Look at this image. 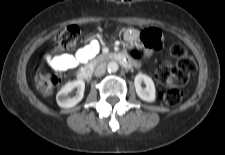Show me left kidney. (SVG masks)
<instances>
[{
    "mask_svg": "<svg viewBox=\"0 0 225 155\" xmlns=\"http://www.w3.org/2000/svg\"><path fill=\"white\" fill-rule=\"evenodd\" d=\"M144 82L146 84V87L143 89L141 87V83ZM134 85L136 89L137 95L144 101L147 102H154L155 101V85L153 80L145 75V74H138L136 75L134 79Z\"/></svg>",
    "mask_w": 225,
    "mask_h": 155,
    "instance_id": "obj_1",
    "label": "left kidney"
}]
</instances>
